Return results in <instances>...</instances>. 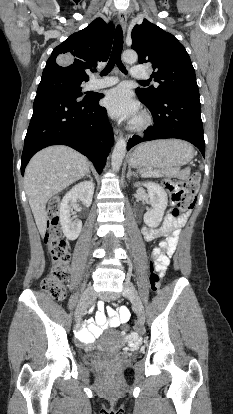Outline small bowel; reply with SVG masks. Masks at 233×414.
<instances>
[{
  "label": "small bowel",
  "mask_w": 233,
  "mask_h": 414,
  "mask_svg": "<svg viewBox=\"0 0 233 414\" xmlns=\"http://www.w3.org/2000/svg\"><path fill=\"white\" fill-rule=\"evenodd\" d=\"M185 217L181 219H174L168 214L159 228H151L144 226L142 234L146 241H152L158 237L168 236L167 240L160 242L158 248L162 254L155 261V272L158 277H162L169 265L168 253L174 248L175 242L180 234L181 227L184 225ZM98 311L94 318L85 322L83 327L78 331V339L83 344L93 343L95 337L101 333L103 329L116 328L126 323L130 318L128 308L120 306L117 309L105 307L103 301L97 304Z\"/></svg>",
  "instance_id": "c3829d8e"
}]
</instances>
